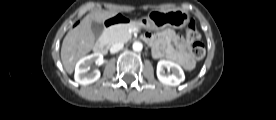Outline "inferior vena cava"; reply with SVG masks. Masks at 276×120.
I'll list each match as a JSON object with an SVG mask.
<instances>
[{
	"label": "inferior vena cava",
	"mask_w": 276,
	"mask_h": 120,
	"mask_svg": "<svg viewBox=\"0 0 276 120\" xmlns=\"http://www.w3.org/2000/svg\"><path fill=\"white\" fill-rule=\"evenodd\" d=\"M124 47V44L122 42L115 43L111 46L110 52L111 53H116L120 51Z\"/></svg>",
	"instance_id": "obj_1"
}]
</instances>
